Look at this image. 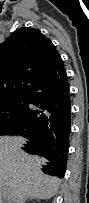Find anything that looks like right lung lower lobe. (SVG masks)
<instances>
[{
  "instance_id": "obj_1",
  "label": "right lung lower lobe",
  "mask_w": 89,
  "mask_h": 203,
  "mask_svg": "<svg viewBox=\"0 0 89 203\" xmlns=\"http://www.w3.org/2000/svg\"><path fill=\"white\" fill-rule=\"evenodd\" d=\"M34 107L24 114L9 134L29 141L22 150L44 157L42 171L64 177L69 147L71 103L64 66L44 75L27 95Z\"/></svg>"
}]
</instances>
